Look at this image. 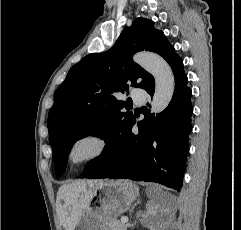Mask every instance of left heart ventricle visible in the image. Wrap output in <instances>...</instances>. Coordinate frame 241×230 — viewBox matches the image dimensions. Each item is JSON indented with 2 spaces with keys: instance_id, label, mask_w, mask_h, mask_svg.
<instances>
[{
  "instance_id": "obj_1",
  "label": "left heart ventricle",
  "mask_w": 241,
  "mask_h": 230,
  "mask_svg": "<svg viewBox=\"0 0 241 230\" xmlns=\"http://www.w3.org/2000/svg\"><path fill=\"white\" fill-rule=\"evenodd\" d=\"M95 148V145L90 141H83L78 143L73 151H72V158L75 161L81 160L87 155H89Z\"/></svg>"
}]
</instances>
